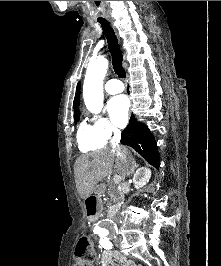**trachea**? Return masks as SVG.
Listing matches in <instances>:
<instances>
[{
	"label": "trachea",
	"mask_w": 221,
	"mask_h": 266,
	"mask_svg": "<svg viewBox=\"0 0 221 266\" xmlns=\"http://www.w3.org/2000/svg\"><path fill=\"white\" fill-rule=\"evenodd\" d=\"M99 23L101 24L103 33L107 39L109 51L112 56L113 69L120 78H125L126 73L122 66L123 56L118 44L116 34L108 21L100 20Z\"/></svg>",
	"instance_id": "trachea-1"
}]
</instances>
